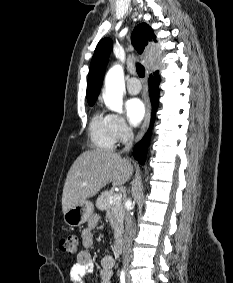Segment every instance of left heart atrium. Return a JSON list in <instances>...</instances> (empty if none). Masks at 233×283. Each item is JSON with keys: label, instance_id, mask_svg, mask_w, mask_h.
Masks as SVG:
<instances>
[{"label": "left heart atrium", "instance_id": "obj_1", "mask_svg": "<svg viewBox=\"0 0 233 283\" xmlns=\"http://www.w3.org/2000/svg\"><path fill=\"white\" fill-rule=\"evenodd\" d=\"M125 110L128 121L133 126H137L145 116V105L139 98L127 100Z\"/></svg>", "mask_w": 233, "mask_h": 283}]
</instances>
